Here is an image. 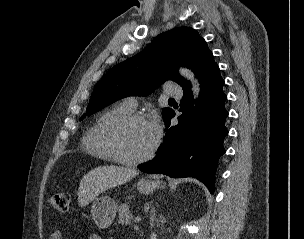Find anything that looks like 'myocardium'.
Wrapping results in <instances>:
<instances>
[{
	"instance_id": "1",
	"label": "myocardium",
	"mask_w": 304,
	"mask_h": 239,
	"mask_svg": "<svg viewBox=\"0 0 304 239\" xmlns=\"http://www.w3.org/2000/svg\"><path fill=\"white\" fill-rule=\"evenodd\" d=\"M133 122H148L147 118L141 113H126L123 114L114 120H112L104 130V141L113 155L114 161L124 165H138L144 163L152 158L154 155L157 146H158V138H154V141L148 151L135 158H127L123 156L118 147V134L119 132L127 125Z\"/></svg>"
}]
</instances>
